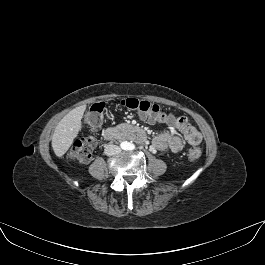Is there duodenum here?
<instances>
[{
  "label": "duodenum",
  "mask_w": 265,
  "mask_h": 265,
  "mask_svg": "<svg viewBox=\"0 0 265 265\" xmlns=\"http://www.w3.org/2000/svg\"><path fill=\"white\" fill-rule=\"evenodd\" d=\"M104 138L110 140H133L144 143L146 141L145 132L137 126L131 127H107L104 130Z\"/></svg>",
  "instance_id": "duodenum-1"
}]
</instances>
